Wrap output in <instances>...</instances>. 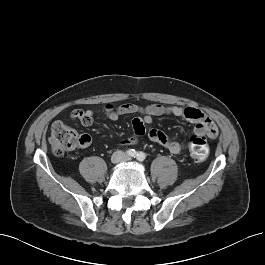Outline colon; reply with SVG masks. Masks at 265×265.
<instances>
[{
  "instance_id": "5ec220e1",
  "label": "colon",
  "mask_w": 265,
  "mask_h": 265,
  "mask_svg": "<svg viewBox=\"0 0 265 265\" xmlns=\"http://www.w3.org/2000/svg\"><path fill=\"white\" fill-rule=\"evenodd\" d=\"M50 143L53 153L61 156L77 148L82 143V136L74 129L57 122L51 129ZM189 149L191 157L197 162L204 161L209 154V146L206 139L199 135L190 137Z\"/></svg>"
}]
</instances>
